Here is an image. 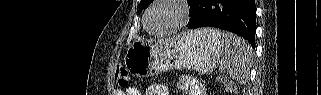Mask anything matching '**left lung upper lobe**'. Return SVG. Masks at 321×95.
Wrapping results in <instances>:
<instances>
[{
	"label": "left lung upper lobe",
	"instance_id": "1",
	"mask_svg": "<svg viewBox=\"0 0 321 95\" xmlns=\"http://www.w3.org/2000/svg\"><path fill=\"white\" fill-rule=\"evenodd\" d=\"M191 1H192V0H189V3H188V4H190ZM151 2H153V0H141V1H140V7H141L142 9L147 8L148 5H149Z\"/></svg>",
	"mask_w": 321,
	"mask_h": 95
}]
</instances>
